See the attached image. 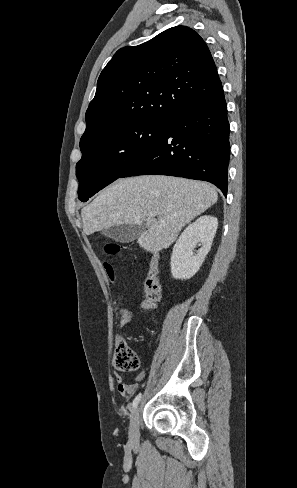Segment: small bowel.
Masks as SVG:
<instances>
[{"mask_svg":"<svg viewBox=\"0 0 297 488\" xmlns=\"http://www.w3.org/2000/svg\"><path fill=\"white\" fill-rule=\"evenodd\" d=\"M132 314H125L123 317H122V320L121 322L123 324H126L128 323L131 319H132ZM113 378L116 382V385H117V389L118 391L120 392V394L125 398V399H128L130 397V395H133L138 387H139V383L142 382L145 378V373L143 371H140L133 382L131 383H127L124 378L122 377V375L118 372H113Z\"/></svg>","mask_w":297,"mask_h":488,"instance_id":"obj_1","label":"small bowel"}]
</instances>
